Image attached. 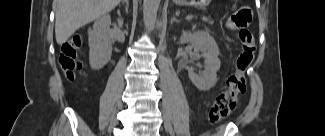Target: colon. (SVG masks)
Masks as SVG:
<instances>
[{
  "label": "colon",
  "instance_id": "colon-1",
  "mask_svg": "<svg viewBox=\"0 0 325 136\" xmlns=\"http://www.w3.org/2000/svg\"><path fill=\"white\" fill-rule=\"evenodd\" d=\"M251 20L250 12L245 9H238L233 16V24L239 29V40L242 51L237 60V69L227 80V89L221 92L213 103L209 120L211 123H218L226 117L235 107L239 95L246 91V71L254 59L256 50L255 39L248 29ZM80 39L76 38L62 46L59 62L69 80H73L75 72L81 68L78 59Z\"/></svg>",
  "mask_w": 325,
  "mask_h": 136
}]
</instances>
